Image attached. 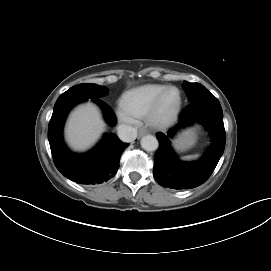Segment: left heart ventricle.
Wrapping results in <instances>:
<instances>
[{
  "instance_id": "b2bd125f",
  "label": "left heart ventricle",
  "mask_w": 271,
  "mask_h": 271,
  "mask_svg": "<svg viewBox=\"0 0 271 271\" xmlns=\"http://www.w3.org/2000/svg\"><path fill=\"white\" fill-rule=\"evenodd\" d=\"M178 100L177 92L172 90L167 93L162 104V113H169L176 105Z\"/></svg>"
}]
</instances>
